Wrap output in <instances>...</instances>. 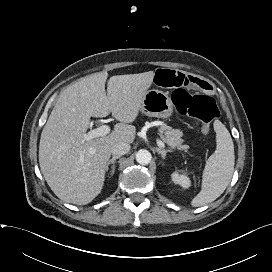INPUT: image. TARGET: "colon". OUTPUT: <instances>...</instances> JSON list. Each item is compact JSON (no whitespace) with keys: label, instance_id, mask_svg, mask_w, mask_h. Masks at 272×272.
Listing matches in <instances>:
<instances>
[{"label":"colon","instance_id":"1","mask_svg":"<svg viewBox=\"0 0 272 272\" xmlns=\"http://www.w3.org/2000/svg\"><path fill=\"white\" fill-rule=\"evenodd\" d=\"M172 100L180 114L200 121L205 134L209 133L212 121L219 117L216 102L209 96L191 94L185 89L179 88L173 91Z\"/></svg>","mask_w":272,"mask_h":272}]
</instances>
